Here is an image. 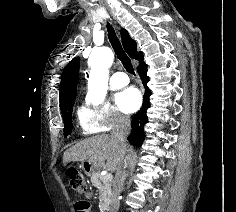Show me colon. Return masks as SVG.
<instances>
[{"label":"colon","instance_id":"1","mask_svg":"<svg viewBox=\"0 0 236 212\" xmlns=\"http://www.w3.org/2000/svg\"><path fill=\"white\" fill-rule=\"evenodd\" d=\"M68 179L70 186L75 192L80 194H88L86 181L80 170L77 168H70L68 170Z\"/></svg>","mask_w":236,"mask_h":212}]
</instances>
